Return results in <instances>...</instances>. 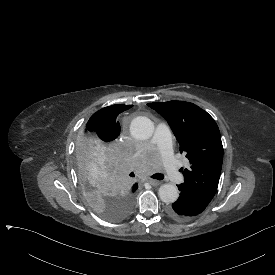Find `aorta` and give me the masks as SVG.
Wrapping results in <instances>:
<instances>
[{"label": "aorta", "instance_id": "762f6f07", "mask_svg": "<svg viewBox=\"0 0 275 275\" xmlns=\"http://www.w3.org/2000/svg\"><path fill=\"white\" fill-rule=\"evenodd\" d=\"M153 131V122L145 116H138L134 118L130 124L131 135L138 140L149 139L152 136ZM158 194L161 201L165 203H173L179 197L177 187L172 184L161 185Z\"/></svg>", "mask_w": 275, "mask_h": 275}]
</instances>
